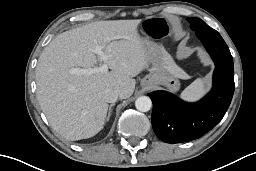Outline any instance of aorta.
Here are the masks:
<instances>
[{
	"mask_svg": "<svg viewBox=\"0 0 256 171\" xmlns=\"http://www.w3.org/2000/svg\"><path fill=\"white\" fill-rule=\"evenodd\" d=\"M135 107L138 111L141 112H147L151 109L152 107V101L149 97L147 96H141L136 99L135 101Z\"/></svg>",
	"mask_w": 256,
	"mask_h": 171,
	"instance_id": "1",
	"label": "aorta"
}]
</instances>
